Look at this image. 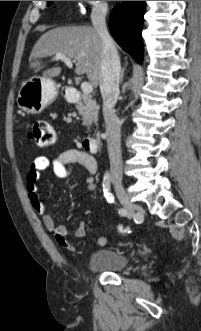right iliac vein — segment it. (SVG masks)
<instances>
[{"mask_svg": "<svg viewBox=\"0 0 201 331\" xmlns=\"http://www.w3.org/2000/svg\"><path fill=\"white\" fill-rule=\"evenodd\" d=\"M114 186L121 204L125 208L128 217L131 218L133 216L136 205L131 202L120 180H115Z\"/></svg>", "mask_w": 201, "mask_h": 331, "instance_id": "right-iliac-vein-1", "label": "right iliac vein"}]
</instances>
